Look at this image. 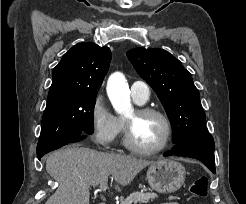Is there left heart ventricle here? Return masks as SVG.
<instances>
[{
    "label": "left heart ventricle",
    "instance_id": "b2bd125f",
    "mask_svg": "<svg viewBox=\"0 0 246 204\" xmlns=\"http://www.w3.org/2000/svg\"><path fill=\"white\" fill-rule=\"evenodd\" d=\"M126 119L132 123L133 139L136 144L144 148H155L162 143L166 128L160 117L156 115L139 116L136 111H133Z\"/></svg>",
    "mask_w": 246,
    "mask_h": 204
}]
</instances>
